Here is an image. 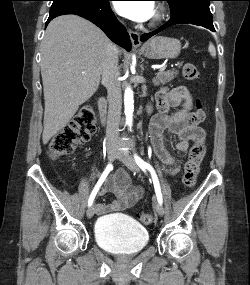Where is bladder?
<instances>
[{"mask_svg": "<svg viewBox=\"0 0 250 285\" xmlns=\"http://www.w3.org/2000/svg\"><path fill=\"white\" fill-rule=\"evenodd\" d=\"M94 239L99 247L115 255H132L149 242L146 228L117 216L102 217L94 226Z\"/></svg>", "mask_w": 250, "mask_h": 285, "instance_id": "bladder-1", "label": "bladder"}]
</instances>
